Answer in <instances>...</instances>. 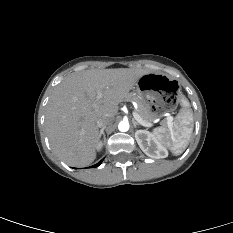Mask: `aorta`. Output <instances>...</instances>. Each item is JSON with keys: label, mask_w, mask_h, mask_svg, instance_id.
I'll return each mask as SVG.
<instances>
[{"label": "aorta", "mask_w": 233, "mask_h": 233, "mask_svg": "<svg viewBox=\"0 0 233 233\" xmlns=\"http://www.w3.org/2000/svg\"><path fill=\"white\" fill-rule=\"evenodd\" d=\"M129 122L128 121H121L119 124H118V129L119 131L121 132H127L129 130Z\"/></svg>", "instance_id": "1"}]
</instances>
